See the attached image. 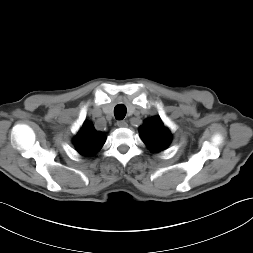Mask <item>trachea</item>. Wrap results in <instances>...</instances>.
Masks as SVG:
<instances>
[{"mask_svg": "<svg viewBox=\"0 0 253 253\" xmlns=\"http://www.w3.org/2000/svg\"><path fill=\"white\" fill-rule=\"evenodd\" d=\"M126 112H127L126 106L123 104H118L114 108V115L117 120L124 119Z\"/></svg>", "mask_w": 253, "mask_h": 253, "instance_id": "obj_1", "label": "trachea"}]
</instances>
